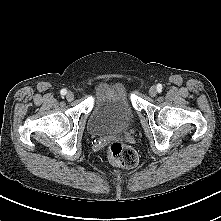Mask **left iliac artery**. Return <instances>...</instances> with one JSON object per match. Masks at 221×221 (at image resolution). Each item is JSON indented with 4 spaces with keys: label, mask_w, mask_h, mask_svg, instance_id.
<instances>
[{
    "label": "left iliac artery",
    "mask_w": 221,
    "mask_h": 221,
    "mask_svg": "<svg viewBox=\"0 0 221 221\" xmlns=\"http://www.w3.org/2000/svg\"><path fill=\"white\" fill-rule=\"evenodd\" d=\"M162 86L158 85V91L161 92Z\"/></svg>",
    "instance_id": "44dca946"
}]
</instances>
